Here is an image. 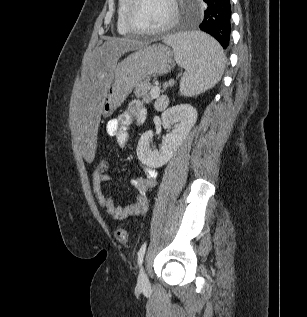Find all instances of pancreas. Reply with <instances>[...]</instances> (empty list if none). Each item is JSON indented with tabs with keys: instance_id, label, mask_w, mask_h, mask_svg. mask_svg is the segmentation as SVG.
I'll use <instances>...</instances> for the list:
<instances>
[{
	"instance_id": "1",
	"label": "pancreas",
	"mask_w": 307,
	"mask_h": 317,
	"mask_svg": "<svg viewBox=\"0 0 307 317\" xmlns=\"http://www.w3.org/2000/svg\"><path fill=\"white\" fill-rule=\"evenodd\" d=\"M151 88L152 85L148 80L140 82L136 85L134 94L137 98H142L144 102L148 103L154 99L149 92Z\"/></svg>"
}]
</instances>
